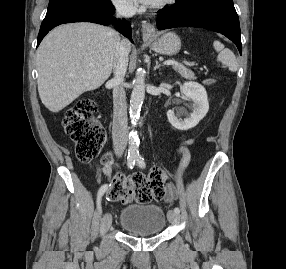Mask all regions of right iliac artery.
<instances>
[{
	"instance_id": "1",
	"label": "right iliac artery",
	"mask_w": 286,
	"mask_h": 269,
	"mask_svg": "<svg viewBox=\"0 0 286 269\" xmlns=\"http://www.w3.org/2000/svg\"><path fill=\"white\" fill-rule=\"evenodd\" d=\"M127 165L130 169H132L135 165V159L134 158H129L128 157V160H127ZM108 189V184H103L99 191H98V195H97V207H98V210L99 212L101 213V198L102 196L104 195V193L106 192V190Z\"/></svg>"
}]
</instances>
